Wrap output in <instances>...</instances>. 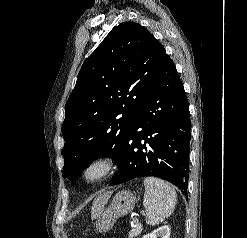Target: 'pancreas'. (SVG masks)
<instances>
[{
	"instance_id": "cf45deb5",
	"label": "pancreas",
	"mask_w": 247,
	"mask_h": 238,
	"mask_svg": "<svg viewBox=\"0 0 247 238\" xmlns=\"http://www.w3.org/2000/svg\"><path fill=\"white\" fill-rule=\"evenodd\" d=\"M133 222H134V227L129 232V238H134L138 236L143 229L142 224L139 223L137 219L133 220Z\"/></svg>"
}]
</instances>
